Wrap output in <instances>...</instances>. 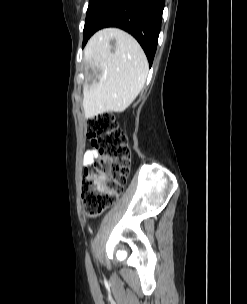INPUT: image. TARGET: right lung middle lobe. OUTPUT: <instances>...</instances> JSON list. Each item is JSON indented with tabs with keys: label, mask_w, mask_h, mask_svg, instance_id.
<instances>
[{
	"label": "right lung middle lobe",
	"mask_w": 247,
	"mask_h": 304,
	"mask_svg": "<svg viewBox=\"0 0 247 304\" xmlns=\"http://www.w3.org/2000/svg\"><path fill=\"white\" fill-rule=\"evenodd\" d=\"M96 1L97 0H89V6H88V9H87V14L91 11V9L95 5Z\"/></svg>",
	"instance_id": "obj_1"
}]
</instances>
